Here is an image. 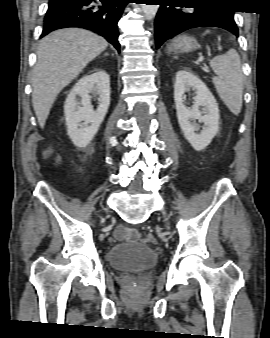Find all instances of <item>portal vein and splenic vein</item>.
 I'll return each mask as SVG.
<instances>
[{"mask_svg":"<svg viewBox=\"0 0 270 338\" xmlns=\"http://www.w3.org/2000/svg\"><path fill=\"white\" fill-rule=\"evenodd\" d=\"M203 56H200L199 59H198V62H202L203 61Z\"/></svg>","mask_w":270,"mask_h":338,"instance_id":"portal-vein-and-splenic-vein-1","label":"portal vein and splenic vein"}]
</instances>
